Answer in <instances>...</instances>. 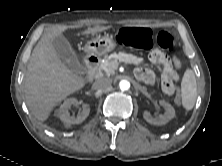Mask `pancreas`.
Here are the masks:
<instances>
[{
  "label": "pancreas",
  "mask_w": 222,
  "mask_h": 166,
  "mask_svg": "<svg viewBox=\"0 0 222 166\" xmlns=\"http://www.w3.org/2000/svg\"><path fill=\"white\" fill-rule=\"evenodd\" d=\"M143 58L136 57L132 54H127L124 52L113 53L106 57L103 62H101L100 68L105 72L107 76L113 75L118 67L119 62H125L133 65L143 64Z\"/></svg>",
  "instance_id": "pancreas-1"
}]
</instances>
